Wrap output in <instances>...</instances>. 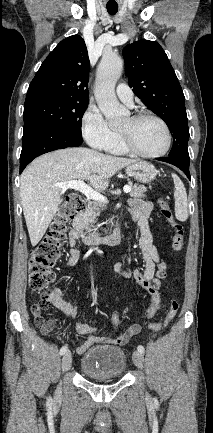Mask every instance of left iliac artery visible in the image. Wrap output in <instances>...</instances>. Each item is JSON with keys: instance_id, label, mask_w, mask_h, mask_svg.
<instances>
[{"instance_id": "1", "label": "left iliac artery", "mask_w": 213, "mask_h": 433, "mask_svg": "<svg viewBox=\"0 0 213 433\" xmlns=\"http://www.w3.org/2000/svg\"><path fill=\"white\" fill-rule=\"evenodd\" d=\"M137 349H138V351L141 352V353H144V352H145V348H144L142 345H139Z\"/></svg>"}]
</instances>
